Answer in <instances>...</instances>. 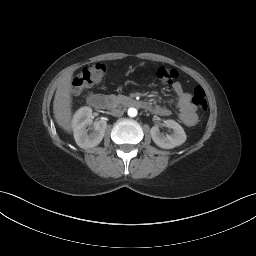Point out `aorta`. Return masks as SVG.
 Listing matches in <instances>:
<instances>
[{"label":"aorta","instance_id":"1","mask_svg":"<svg viewBox=\"0 0 256 256\" xmlns=\"http://www.w3.org/2000/svg\"><path fill=\"white\" fill-rule=\"evenodd\" d=\"M128 115L130 116V117H136L137 116V109L136 108H129L128 109Z\"/></svg>","mask_w":256,"mask_h":256}]
</instances>
